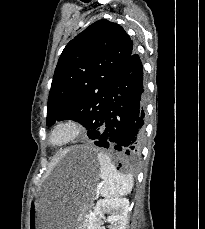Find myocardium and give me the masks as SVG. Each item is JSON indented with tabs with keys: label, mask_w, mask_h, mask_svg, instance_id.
<instances>
[{
	"label": "myocardium",
	"mask_w": 205,
	"mask_h": 229,
	"mask_svg": "<svg viewBox=\"0 0 205 229\" xmlns=\"http://www.w3.org/2000/svg\"><path fill=\"white\" fill-rule=\"evenodd\" d=\"M83 131L82 124L72 118L60 120L51 128L47 143L53 148L64 147L80 137ZM60 134H63L60 137Z\"/></svg>",
	"instance_id": "obj_1"
}]
</instances>
